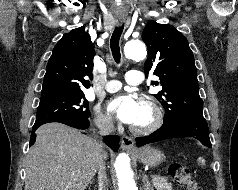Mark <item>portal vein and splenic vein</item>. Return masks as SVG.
<instances>
[{
	"instance_id": "1",
	"label": "portal vein and splenic vein",
	"mask_w": 238,
	"mask_h": 190,
	"mask_svg": "<svg viewBox=\"0 0 238 190\" xmlns=\"http://www.w3.org/2000/svg\"><path fill=\"white\" fill-rule=\"evenodd\" d=\"M156 178V176H152V180H154Z\"/></svg>"
}]
</instances>
